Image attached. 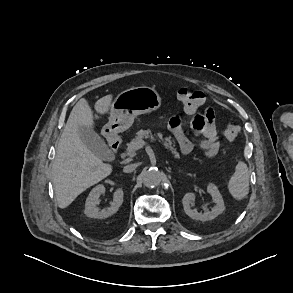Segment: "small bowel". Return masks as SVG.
Returning <instances> with one entry per match:
<instances>
[{
    "instance_id": "1",
    "label": "small bowel",
    "mask_w": 293,
    "mask_h": 293,
    "mask_svg": "<svg viewBox=\"0 0 293 293\" xmlns=\"http://www.w3.org/2000/svg\"><path fill=\"white\" fill-rule=\"evenodd\" d=\"M167 127L175 136L181 153L189 154L195 147H198L208 159L217 155L219 138L215 113L212 109H206L194 116L191 126L192 136L184 132L179 115H174L167 123ZM200 136L202 138L198 139Z\"/></svg>"
}]
</instances>
